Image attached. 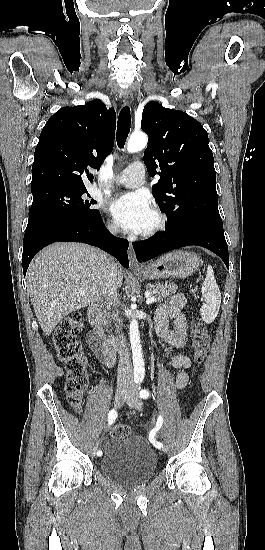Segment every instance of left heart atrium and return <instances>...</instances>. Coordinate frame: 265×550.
<instances>
[{
	"mask_svg": "<svg viewBox=\"0 0 265 550\" xmlns=\"http://www.w3.org/2000/svg\"><path fill=\"white\" fill-rule=\"evenodd\" d=\"M109 210L120 227L133 233L142 232L152 214L149 200L140 192L116 198L110 203Z\"/></svg>",
	"mask_w": 265,
	"mask_h": 550,
	"instance_id": "39dd6f15",
	"label": "left heart atrium"
}]
</instances>
